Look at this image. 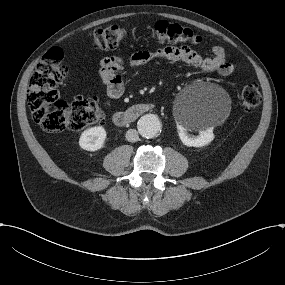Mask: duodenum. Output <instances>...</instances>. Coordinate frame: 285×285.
<instances>
[{"mask_svg": "<svg viewBox=\"0 0 285 285\" xmlns=\"http://www.w3.org/2000/svg\"><path fill=\"white\" fill-rule=\"evenodd\" d=\"M154 108L155 105L151 103L133 104L126 110L116 112L112 119L115 125L119 127H126L132 122L136 121L144 113L153 110Z\"/></svg>", "mask_w": 285, "mask_h": 285, "instance_id": "410a0bca", "label": "duodenum"}]
</instances>
